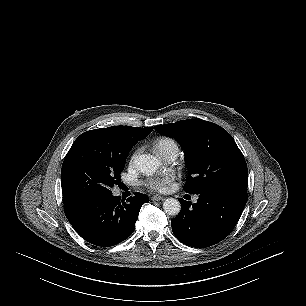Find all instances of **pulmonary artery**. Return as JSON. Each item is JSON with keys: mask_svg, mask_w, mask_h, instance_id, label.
<instances>
[{"mask_svg": "<svg viewBox=\"0 0 306 306\" xmlns=\"http://www.w3.org/2000/svg\"><path fill=\"white\" fill-rule=\"evenodd\" d=\"M177 155H178V152L173 151V152L169 153L164 159L168 162H172L176 159Z\"/></svg>", "mask_w": 306, "mask_h": 306, "instance_id": "pulmonary-artery-1", "label": "pulmonary artery"}]
</instances>
